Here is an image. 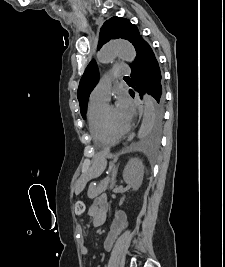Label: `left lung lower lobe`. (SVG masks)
<instances>
[{"label":"left lung lower lobe","instance_id":"1","mask_svg":"<svg viewBox=\"0 0 225 267\" xmlns=\"http://www.w3.org/2000/svg\"><path fill=\"white\" fill-rule=\"evenodd\" d=\"M130 67L132 69L131 78L135 84L134 89L129 90L130 95L134 97L136 91L142 97L147 92L152 96L154 104L163 108L162 74L154 52L145 40H140L137 56Z\"/></svg>","mask_w":225,"mask_h":267}]
</instances>
